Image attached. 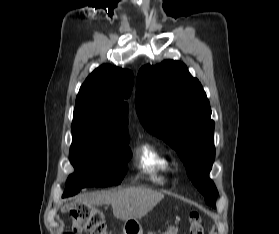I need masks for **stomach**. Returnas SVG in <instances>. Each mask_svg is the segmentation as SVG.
<instances>
[{
	"instance_id": "0dacf381",
	"label": "stomach",
	"mask_w": 279,
	"mask_h": 234,
	"mask_svg": "<svg viewBox=\"0 0 279 234\" xmlns=\"http://www.w3.org/2000/svg\"><path fill=\"white\" fill-rule=\"evenodd\" d=\"M143 234L142 227L138 220L130 219L127 220L123 226V234ZM164 234H177L174 227H169Z\"/></svg>"
}]
</instances>
